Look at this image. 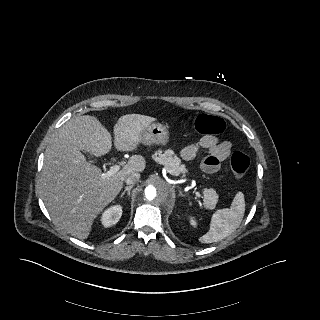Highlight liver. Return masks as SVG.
Wrapping results in <instances>:
<instances>
[{"label":"liver","instance_id":"6515ba94","mask_svg":"<svg viewBox=\"0 0 320 320\" xmlns=\"http://www.w3.org/2000/svg\"><path fill=\"white\" fill-rule=\"evenodd\" d=\"M155 120L140 114L121 116L114 126L115 148L134 151L141 143V131ZM111 148L107 129L94 116L83 115L67 121L46 150L42 199L54 223L78 239L90 235L93 221L119 194L125 178L145 169L144 157L133 155L120 171L107 177L80 152L100 157Z\"/></svg>","mask_w":320,"mask_h":320}]
</instances>
